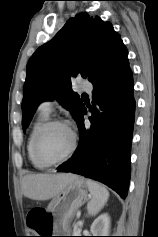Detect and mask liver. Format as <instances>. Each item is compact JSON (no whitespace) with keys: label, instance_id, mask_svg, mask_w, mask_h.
<instances>
[{"label":"liver","instance_id":"6515ba94","mask_svg":"<svg viewBox=\"0 0 158 237\" xmlns=\"http://www.w3.org/2000/svg\"><path fill=\"white\" fill-rule=\"evenodd\" d=\"M77 177L71 173L29 174L22 178V193L33 200H48L60 194Z\"/></svg>","mask_w":158,"mask_h":237}]
</instances>
